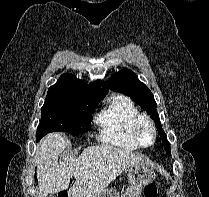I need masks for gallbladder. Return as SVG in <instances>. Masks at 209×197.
Here are the masks:
<instances>
[{"mask_svg":"<svg viewBox=\"0 0 209 197\" xmlns=\"http://www.w3.org/2000/svg\"><path fill=\"white\" fill-rule=\"evenodd\" d=\"M48 197H54V196L51 194V195H49Z\"/></svg>","mask_w":209,"mask_h":197,"instance_id":"obj_1","label":"gallbladder"}]
</instances>
